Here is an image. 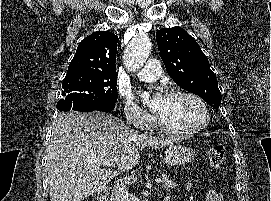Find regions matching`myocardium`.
I'll use <instances>...</instances> for the list:
<instances>
[{"label": "myocardium", "mask_w": 271, "mask_h": 201, "mask_svg": "<svg viewBox=\"0 0 271 201\" xmlns=\"http://www.w3.org/2000/svg\"><path fill=\"white\" fill-rule=\"evenodd\" d=\"M176 96H183V97H187L189 99H192L200 106V108L203 112V116H204L202 123L199 124L198 126H196L195 128L188 130V131H176V130L169 128L167 125H165L157 116L156 123H157V126L159 127V129L164 134L174 136V137H183V138L193 136V135L197 134L198 132L204 130L210 124V121H211L210 111H209L208 106L205 103V101L201 97H199L198 95H196L190 91L183 90V89H172L166 93L165 98H172V97H176Z\"/></svg>", "instance_id": "f54148a6"}]
</instances>
